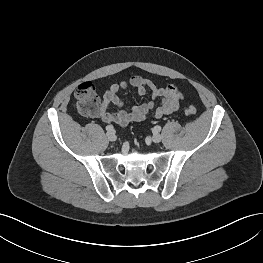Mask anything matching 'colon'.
<instances>
[{"label": "colon", "instance_id": "1", "mask_svg": "<svg viewBox=\"0 0 263 263\" xmlns=\"http://www.w3.org/2000/svg\"><path fill=\"white\" fill-rule=\"evenodd\" d=\"M75 109L83 114L91 115L97 110L98 94L96 86L92 82L80 84L75 92ZM197 112L194 106H188L185 109L187 115H195Z\"/></svg>", "mask_w": 263, "mask_h": 263}]
</instances>
